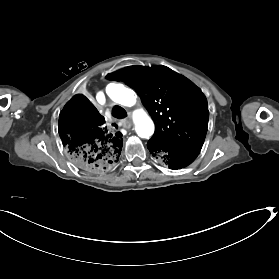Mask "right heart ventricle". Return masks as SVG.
<instances>
[{
  "label": "right heart ventricle",
  "mask_w": 279,
  "mask_h": 279,
  "mask_svg": "<svg viewBox=\"0 0 279 279\" xmlns=\"http://www.w3.org/2000/svg\"><path fill=\"white\" fill-rule=\"evenodd\" d=\"M82 63L85 66L91 67L90 70H88L87 72V74H89V76L91 77L96 75L103 66L102 61L97 56L84 58L82 60ZM107 90L114 102L122 108H126L127 106H129L131 104V100L136 95L135 92L129 90L121 83H111L107 86Z\"/></svg>",
  "instance_id": "e07e8e85"
}]
</instances>
